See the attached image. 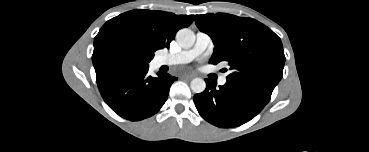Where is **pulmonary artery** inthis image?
Returning <instances> with one entry per match:
<instances>
[{"instance_id":"e3ab8cb5","label":"pulmonary artery","mask_w":369,"mask_h":152,"mask_svg":"<svg viewBox=\"0 0 369 152\" xmlns=\"http://www.w3.org/2000/svg\"><path fill=\"white\" fill-rule=\"evenodd\" d=\"M213 48L214 44L212 38L207 33L198 32L196 35L195 44L192 48L182 50L177 53L162 55L157 58L156 63L158 66L187 64L202 54L211 53ZM225 83L226 77L221 76L219 78V84L224 85Z\"/></svg>"}]
</instances>
